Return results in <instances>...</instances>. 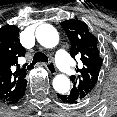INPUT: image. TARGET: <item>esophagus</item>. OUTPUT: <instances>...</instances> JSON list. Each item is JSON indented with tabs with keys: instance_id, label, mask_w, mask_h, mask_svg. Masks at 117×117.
I'll return each instance as SVG.
<instances>
[{
	"instance_id": "34e87169",
	"label": "esophagus",
	"mask_w": 117,
	"mask_h": 117,
	"mask_svg": "<svg viewBox=\"0 0 117 117\" xmlns=\"http://www.w3.org/2000/svg\"><path fill=\"white\" fill-rule=\"evenodd\" d=\"M44 66L46 67V69L49 71V73L51 74H56V67L52 62L49 63H45Z\"/></svg>"
}]
</instances>
